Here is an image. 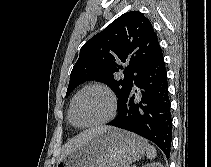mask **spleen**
I'll list each match as a JSON object with an SVG mask.
<instances>
[{"instance_id":"1","label":"spleen","mask_w":211,"mask_h":167,"mask_svg":"<svg viewBox=\"0 0 211 167\" xmlns=\"http://www.w3.org/2000/svg\"><path fill=\"white\" fill-rule=\"evenodd\" d=\"M146 154H147V158L152 160L157 155L156 154V149L153 146H151L150 144H148L147 147H146Z\"/></svg>"}]
</instances>
